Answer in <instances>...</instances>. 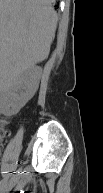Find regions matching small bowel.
I'll return each instance as SVG.
<instances>
[{
  "mask_svg": "<svg viewBox=\"0 0 103 193\" xmlns=\"http://www.w3.org/2000/svg\"><path fill=\"white\" fill-rule=\"evenodd\" d=\"M2 123L5 124V123H7V121H6V120H3ZM9 134H10V133H9L8 131H6V133L4 134V137L9 136ZM3 169H5L4 166H3ZM7 179H8V175H7L6 178H4V180L2 181V184L4 185V187H3L4 192L10 191V188H9V185H8V182H9V181L6 182ZM7 186H8V188L6 189Z\"/></svg>",
  "mask_w": 103,
  "mask_h": 193,
  "instance_id": "1",
  "label": "small bowel"
}]
</instances>
